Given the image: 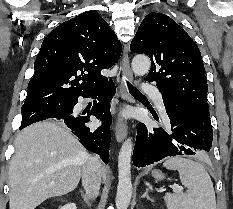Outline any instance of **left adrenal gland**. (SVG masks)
I'll use <instances>...</instances> for the list:
<instances>
[{"label": "left adrenal gland", "instance_id": "left-adrenal-gland-1", "mask_svg": "<svg viewBox=\"0 0 233 209\" xmlns=\"http://www.w3.org/2000/svg\"><path fill=\"white\" fill-rule=\"evenodd\" d=\"M148 191H149V189H146L145 193L141 196V198H147V200L152 201V199L148 195Z\"/></svg>", "mask_w": 233, "mask_h": 209}]
</instances>
